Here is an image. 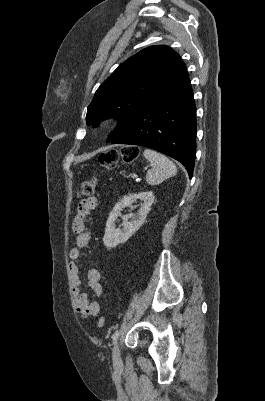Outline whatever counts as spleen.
I'll return each mask as SVG.
<instances>
[{
  "mask_svg": "<svg viewBox=\"0 0 265 401\" xmlns=\"http://www.w3.org/2000/svg\"><path fill=\"white\" fill-rule=\"evenodd\" d=\"M143 154L150 162V166H152L151 170H148L146 174L148 184L154 186V184H160L170 176H175L177 166L167 156L156 152V150H150V148H145Z\"/></svg>",
  "mask_w": 265,
  "mask_h": 401,
  "instance_id": "3e777b00",
  "label": "spleen"
}]
</instances>
